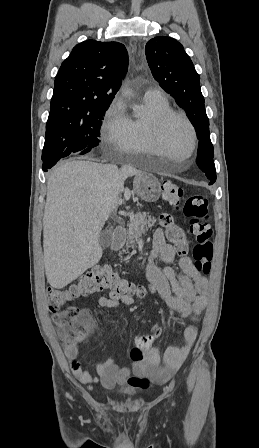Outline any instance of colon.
Listing matches in <instances>:
<instances>
[{
    "mask_svg": "<svg viewBox=\"0 0 259 448\" xmlns=\"http://www.w3.org/2000/svg\"><path fill=\"white\" fill-rule=\"evenodd\" d=\"M162 194L167 202L180 208L188 218L190 232L196 241L193 249L195 267L202 274H208L213 258V244L207 197L204 194H195L183 199L182 187L172 180H165L162 183ZM160 223L166 228L167 237L175 245L178 253L185 254L189 243L184 230L174 223L169 214L161 215ZM103 291H109L112 295L143 296L146 293L144 287L122 278L117 272L106 267L92 269L68 288L48 289V306L66 347L79 344L94 327L90 313L70 305V301ZM158 337L155 332L138 336L131 351L132 360L143 361L152 343Z\"/></svg>",
    "mask_w": 259,
    "mask_h": 448,
    "instance_id": "5ec220e1",
    "label": "colon"
}]
</instances>
